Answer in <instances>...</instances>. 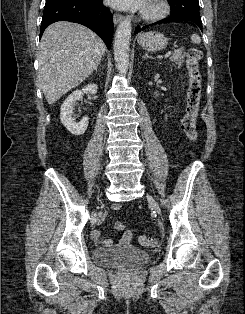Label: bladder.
<instances>
[{"mask_svg":"<svg viewBox=\"0 0 245 314\" xmlns=\"http://www.w3.org/2000/svg\"><path fill=\"white\" fill-rule=\"evenodd\" d=\"M150 258L149 251L134 247L97 248L94 251L95 261L102 265L142 264Z\"/></svg>","mask_w":245,"mask_h":314,"instance_id":"31cf9c89","label":"bladder"}]
</instances>
